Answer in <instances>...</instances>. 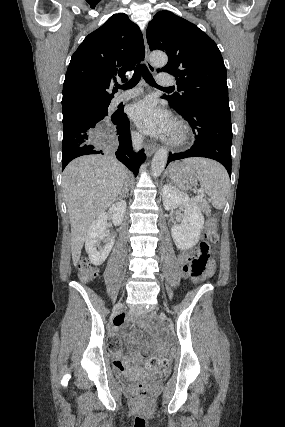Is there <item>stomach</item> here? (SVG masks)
<instances>
[{"instance_id": "1", "label": "stomach", "mask_w": 285, "mask_h": 427, "mask_svg": "<svg viewBox=\"0 0 285 427\" xmlns=\"http://www.w3.org/2000/svg\"><path fill=\"white\" fill-rule=\"evenodd\" d=\"M169 177L180 189H191L198 183L196 171L186 163H173L169 167Z\"/></svg>"}]
</instances>
